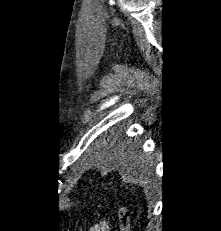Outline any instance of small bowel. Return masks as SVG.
<instances>
[{
    "label": "small bowel",
    "instance_id": "obj_1",
    "mask_svg": "<svg viewBox=\"0 0 221 231\" xmlns=\"http://www.w3.org/2000/svg\"><path fill=\"white\" fill-rule=\"evenodd\" d=\"M90 231H109V224L106 221H101L94 225Z\"/></svg>",
    "mask_w": 221,
    "mask_h": 231
}]
</instances>
